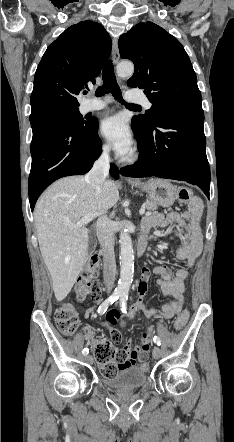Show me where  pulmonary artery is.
<instances>
[{
    "label": "pulmonary artery",
    "instance_id": "obj_1",
    "mask_svg": "<svg viewBox=\"0 0 234 442\" xmlns=\"http://www.w3.org/2000/svg\"><path fill=\"white\" fill-rule=\"evenodd\" d=\"M126 99L128 102L140 103L146 109L151 108V102L143 95L127 94ZM106 107L107 104L98 99H88L83 103L84 112L100 111L105 109Z\"/></svg>",
    "mask_w": 234,
    "mask_h": 442
}]
</instances>
